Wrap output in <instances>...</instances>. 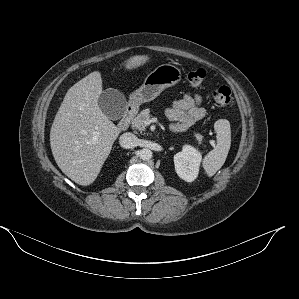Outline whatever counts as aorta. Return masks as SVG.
<instances>
[{"instance_id": "1", "label": "aorta", "mask_w": 299, "mask_h": 299, "mask_svg": "<svg viewBox=\"0 0 299 299\" xmlns=\"http://www.w3.org/2000/svg\"><path fill=\"white\" fill-rule=\"evenodd\" d=\"M139 156L143 161H148L152 158V151L148 148H143L140 150Z\"/></svg>"}]
</instances>
